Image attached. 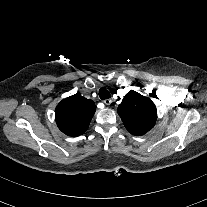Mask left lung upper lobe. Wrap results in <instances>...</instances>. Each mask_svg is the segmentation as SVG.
<instances>
[{"label":"left lung upper lobe","instance_id":"5c2ea615","mask_svg":"<svg viewBox=\"0 0 207 207\" xmlns=\"http://www.w3.org/2000/svg\"><path fill=\"white\" fill-rule=\"evenodd\" d=\"M117 112L126 129L133 135H144L150 131L157 118L154 103L133 90L123 98Z\"/></svg>","mask_w":207,"mask_h":207}]
</instances>
